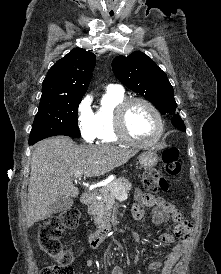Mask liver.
<instances>
[{
  "instance_id": "obj_1",
  "label": "liver",
  "mask_w": 221,
  "mask_h": 274,
  "mask_svg": "<svg viewBox=\"0 0 221 274\" xmlns=\"http://www.w3.org/2000/svg\"><path fill=\"white\" fill-rule=\"evenodd\" d=\"M137 150L108 145H77L71 139L57 136L40 141L31 156L26 225L44 220L53 212L49 206L61 197H77L73 184L77 171L85 177L101 176L124 165Z\"/></svg>"
}]
</instances>
